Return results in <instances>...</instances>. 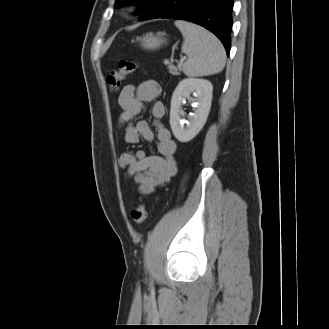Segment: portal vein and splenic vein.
<instances>
[{
  "mask_svg": "<svg viewBox=\"0 0 329 329\" xmlns=\"http://www.w3.org/2000/svg\"><path fill=\"white\" fill-rule=\"evenodd\" d=\"M185 60H186V57H183V58L180 59V62L182 63V62H184Z\"/></svg>",
  "mask_w": 329,
  "mask_h": 329,
  "instance_id": "18ae733b",
  "label": "portal vein and splenic vein"
}]
</instances>
